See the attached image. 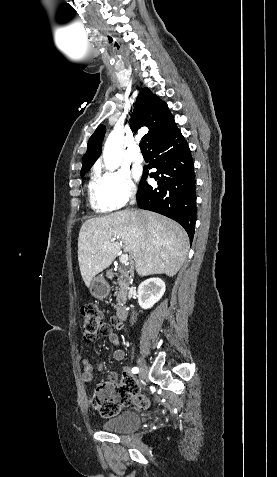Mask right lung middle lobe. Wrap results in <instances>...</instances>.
Segmentation results:
<instances>
[{"instance_id":"right-lung-middle-lobe-1","label":"right lung middle lobe","mask_w":277,"mask_h":477,"mask_svg":"<svg viewBox=\"0 0 277 477\" xmlns=\"http://www.w3.org/2000/svg\"><path fill=\"white\" fill-rule=\"evenodd\" d=\"M88 170H89V169L81 170V177H83V176L87 173Z\"/></svg>"}]
</instances>
